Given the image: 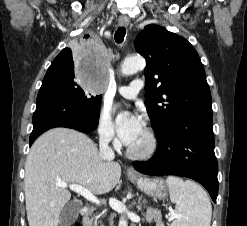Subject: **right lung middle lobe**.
Returning <instances> with one entry per match:
<instances>
[{"label": "right lung middle lobe", "instance_id": "dd1d6c3e", "mask_svg": "<svg viewBox=\"0 0 247 226\" xmlns=\"http://www.w3.org/2000/svg\"><path fill=\"white\" fill-rule=\"evenodd\" d=\"M45 77L60 81L70 92L74 93L88 106L95 110H100L102 95H95L89 91H84L76 82L77 78H75L72 52L69 57L57 61L54 66H50Z\"/></svg>", "mask_w": 247, "mask_h": 226}]
</instances>
